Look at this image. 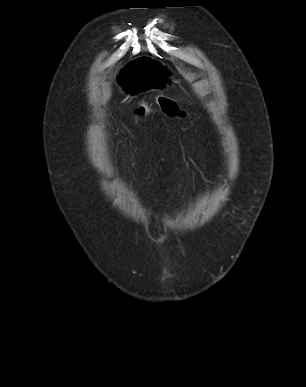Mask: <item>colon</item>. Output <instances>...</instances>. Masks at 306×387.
Segmentation results:
<instances>
[{
  "instance_id": "colon-1",
  "label": "colon",
  "mask_w": 306,
  "mask_h": 387,
  "mask_svg": "<svg viewBox=\"0 0 306 387\" xmlns=\"http://www.w3.org/2000/svg\"><path fill=\"white\" fill-rule=\"evenodd\" d=\"M158 103H159L160 107L162 108V110L170 116H183V115H185L183 112H181L178 109L177 105L169 99L160 97L158 99ZM149 107H150L149 103H147V102L142 103L135 111L136 116L138 118H144L145 115L149 111Z\"/></svg>"
}]
</instances>
